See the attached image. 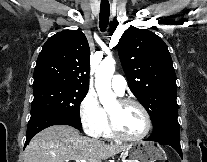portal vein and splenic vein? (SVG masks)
Here are the masks:
<instances>
[{
	"mask_svg": "<svg viewBox=\"0 0 207 162\" xmlns=\"http://www.w3.org/2000/svg\"><path fill=\"white\" fill-rule=\"evenodd\" d=\"M66 162H68V161H66ZM79 162H87L86 160H81V161H79Z\"/></svg>",
	"mask_w": 207,
	"mask_h": 162,
	"instance_id": "18ae733b",
	"label": "portal vein and splenic vein"
}]
</instances>
